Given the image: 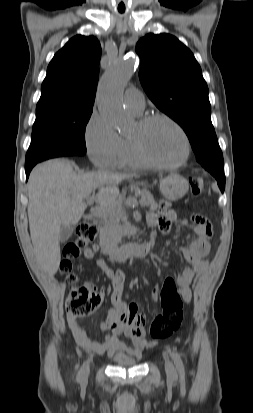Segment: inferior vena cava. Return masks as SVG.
<instances>
[{"label":"inferior vena cava","mask_w":253,"mask_h":413,"mask_svg":"<svg viewBox=\"0 0 253 413\" xmlns=\"http://www.w3.org/2000/svg\"><path fill=\"white\" fill-rule=\"evenodd\" d=\"M105 235L111 241L112 244L116 245L120 242V236L111 228L105 230Z\"/></svg>","instance_id":"obj_1"}]
</instances>
